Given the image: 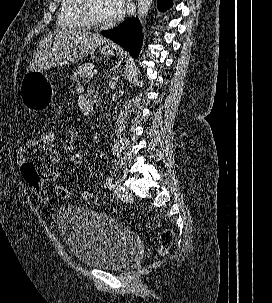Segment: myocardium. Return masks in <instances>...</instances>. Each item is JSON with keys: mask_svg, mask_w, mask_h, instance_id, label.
<instances>
[{"mask_svg": "<svg viewBox=\"0 0 272 303\" xmlns=\"http://www.w3.org/2000/svg\"><path fill=\"white\" fill-rule=\"evenodd\" d=\"M81 14L88 26L97 29H104L111 26V22H101L97 20L92 12V0H82Z\"/></svg>", "mask_w": 272, "mask_h": 303, "instance_id": "obj_1", "label": "myocardium"}]
</instances>
